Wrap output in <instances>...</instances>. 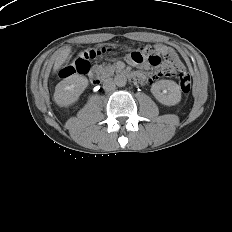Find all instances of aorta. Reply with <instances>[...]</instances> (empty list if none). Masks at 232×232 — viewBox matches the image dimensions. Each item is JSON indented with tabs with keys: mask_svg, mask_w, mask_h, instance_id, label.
<instances>
[{
	"mask_svg": "<svg viewBox=\"0 0 232 232\" xmlns=\"http://www.w3.org/2000/svg\"><path fill=\"white\" fill-rule=\"evenodd\" d=\"M114 81L118 87H124L127 83V78L125 75L120 74L115 77Z\"/></svg>",
	"mask_w": 232,
	"mask_h": 232,
	"instance_id": "762f6f07",
	"label": "aorta"
}]
</instances>
